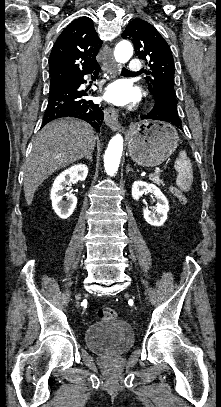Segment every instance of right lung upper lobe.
Wrapping results in <instances>:
<instances>
[{"label":"right lung upper lobe","instance_id":"obj_1","mask_svg":"<svg viewBox=\"0 0 221 407\" xmlns=\"http://www.w3.org/2000/svg\"><path fill=\"white\" fill-rule=\"evenodd\" d=\"M101 41L89 17L72 21L57 38L49 60L51 85L58 86L98 68Z\"/></svg>","mask_w":221,"mask_h":407}]
</instances>
